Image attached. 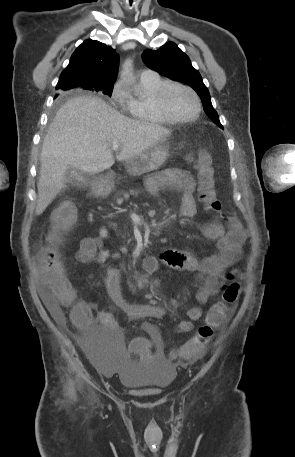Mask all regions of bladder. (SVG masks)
<instances>
[{"mask_svg": "<svg viewBox=\"0 0 295 457\" xmlns=\"http://www.w3.org/2000/svg\"><path fill=\"white\" fill-rule=\"evenodd\" d=\"M121 338H78L81 356H88L91 363L102 372L118 375L121 384L129 389L152 393L167 386L175 377L172 359L164 352L163 345H154L152 366H132L131 358L120 353Z\"/></svg>", "mask_w": 295, "mask_h": 457, "instance_id": "31cf9c89", "label": "bladder"}]
</instances>
